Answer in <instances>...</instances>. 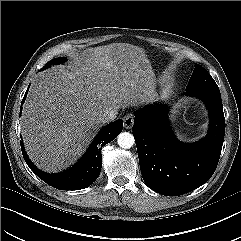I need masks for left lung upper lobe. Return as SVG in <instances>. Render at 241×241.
Masks as SVG:
<instances>
[{"label": "left lung upper lobe", "mask_w": 241, "mask_h": 241, "mask_svg": "<svg viewBox=\"0 0 241 241\" xmlns=\"http://www.w3.org/2000/svg\"><path fill=\"white\" fill-rule=\"evenodd\" d=\"M193 89L219 90L211 75L199 64H195L194 71L186 87V90Z\"/></svg>", "instance_id": "5c2ea615"}]
</instances>
